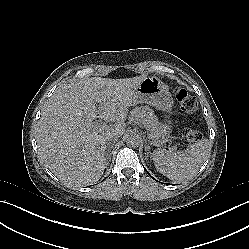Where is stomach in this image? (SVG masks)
Segmentation results:
<instances>
[{
    "label": "stomach",
    "instance_id": "obj_1",
    "mask_svg": "<svg viewBox=\"0 0 249 249\" xmlns=\"http://www.w3.org/2000/svg\"><path fill=\"white\" fill-rule=\"evenodd\" d=\"M171 94L165 84L158 78H144L134 91L133 103H146L157 110L169 112L171 109ZM164 138L153 139L154 143L161 144L170 134V127L164 124Z\"/></svg>",
    "mask_w": 249,
    "mask_h": 249
}]
</instances>
